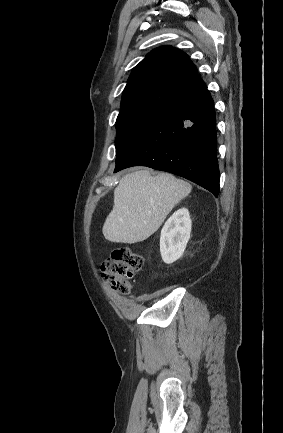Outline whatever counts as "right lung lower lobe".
<instances>
[{
	"label": "right lung lower lobe",
	"instance_id": "1",
	"mask_svg": "<svg viewBox=\"0 0 283 433\" xmlns=\"http://www.w3.org/2000/svg\"><path fill=\"white\" fill-rule=\"evenodd\" d=\"M216 117L207 89L153 118L116 157L114 172L142 165L195 182L218 196Z\"/></svg>",
	"mask_w": 283,
	"mask_h": 433
}]
</instances>
